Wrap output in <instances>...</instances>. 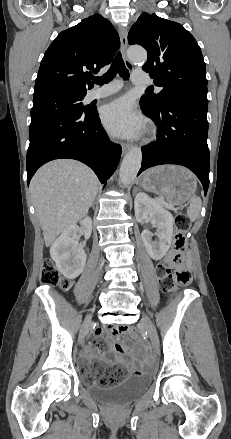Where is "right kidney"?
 <instances>
[{"label": "right kidney", "instance_id": "ca27d5eb", "mask_svg": "<svg viewBox=\"0 0 231 439\" xmlns=\"http://www.w3.org/2000/svg\"><path fill=\"white\" fill-rule=\"evenodd\" d=\"M81 225L86 228L85 237H89L92 230V220L90 217L84 218ZM78 226L70 225L54 241L50 248L51 258L55 261L58 270L67 279L78 277L85 266L86 254L79 246L77 237Z\"/></svg>", "mask_w": 231, "mask_h": 439}]
</instances>
